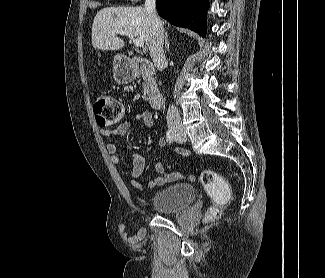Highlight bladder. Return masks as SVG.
I'll return each instance as SVG.
<instances>
[{
  "label": "bladder",
  "instance_id": "obj_1",
  "mask_svg": "<svg viewBox=\"0 0 325 278\" xmlns=\"http://www.w3.org/2000/svg\"><path fill=\"white\" fill-rule=\"evenodd\" d=\"M196 198L195 188L188 183H176L158 190L151 206L160 214H173L188 208Z\"/></svg>",
  "mask_w": 325,
  "mask_h": 278
}]
</instances>
